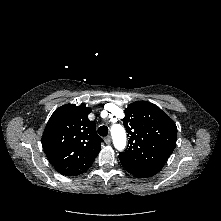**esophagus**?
<instances>
[{
  "label": "esophagus",
  "mask_w": 221,
  "mask_h": 221,
  "mask_svg": "<svg viewBox=\"0 0 221 221\" xmlns=\"http://www.w3.org/2000/svg\"><path fill=\"white\" fill-rule=\"evenodd\" d=\"M104 141H105V143L108 144V145L111 144V141H112V140H111V136H110V135H109V136H106V137L104 138Z\"/></svg>",
  "instance_id": "1"
}]
</instances>
